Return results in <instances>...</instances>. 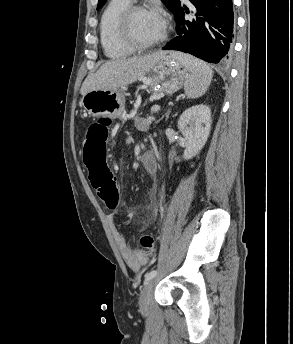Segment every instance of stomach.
Returning <instances> with one entry per match:
<instances>
[{
    "label": "stomach",
    "mask_w": 293,
    "mask_h": 344,
    "mask_svg": "<svg viewBox=\"0 0 293 344\" xmlns=\"http://www.w3.org/2000/svg\"><path fill=\"white\" fill-rule=\"evenodd\" d=\"M189 69L171 53L160 58L139 80L156 93L172 94L185 84ZM125 87L116 90H93L86 93L81 104L93 117L122 118L125 115Z\"/></svg>",
    "instance_id": "0dacf381"
}]
</instances>
